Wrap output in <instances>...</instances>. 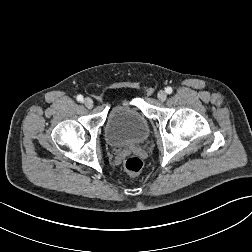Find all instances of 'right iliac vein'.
<instances>
[{"instance_id":"63e3f726","label":"right iliac vein","mask_w":252,"mask_h":252,"mask_svg":"<svg viewBox=\"0 0 252 252\" xmlns=\"http://www.w3.org/2000/svg\"><path fill=\"white\" fill-rule=\"evenodd\" d=\"M83 103L89 109L93 107V100L89 97L85 98Z\"/></svg>"}]
</instances>
